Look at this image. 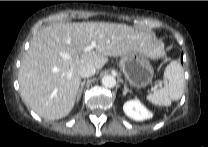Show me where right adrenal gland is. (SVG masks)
<instances>
[{"label": "right adrenal gland", "mask_w": 208, "mask_h": 147, "mask_svg": "<svg viewBox=\"0 0 208 147\" xmlns=\"http://www.w3.org/2000/svg\"><path fill=\"white\" fill-rule=\"evenodd\" d=\"M85 83H86V80L84 79V80L81 82L80 89H79V91H78L77 101H79L80 98H81L82 91H83V89H84Z\"/></svg>", "instance_id": "2a0ac1e0"}]
</instances>
